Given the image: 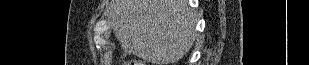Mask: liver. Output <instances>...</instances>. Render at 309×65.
<instances>
[{
  "instance_id": "liver-1",
  "label": "liver",
  "mask_w": 309,
  "mask_h": 65,
  "mask_svg": "<svg viewBox=\"0 0 309 65\" xmlns=\"http://www.w3.org/2000/svg\"><path fill=\"white\" fill-rule=\"evenodd\" d=\"M109 19L125 52L156 65L180 60L196 37L187 0H112Z\"/></svg>"
}]
</instances>
